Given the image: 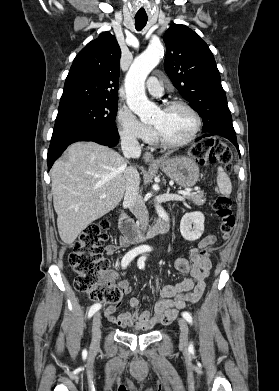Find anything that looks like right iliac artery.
<instances>
[{
  "label": "right iliac artery",
  "mask_w": 279,
  "mask_h": 391,
  "mask_svg": "<svg viewBox=\"0 0 279 391\" xmlns=\"http://www.w3.org/2000/svg\"><path fill=\"white\" fill-rule=\"evenodd\" d=\"M147 249L145 247H137L125 254V256L122 259L121 265L122 268H126L127 265L139 254L146 252ZM101 308V305L99 303H96L90 307V310L88 312V317L90 318L93 316L95 312H97Z\"/></svg>",
  "instance_id": "obj_1"
}]
</instances>
